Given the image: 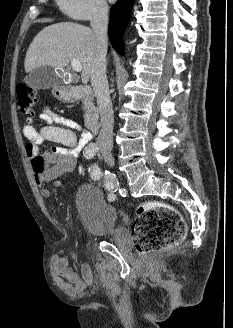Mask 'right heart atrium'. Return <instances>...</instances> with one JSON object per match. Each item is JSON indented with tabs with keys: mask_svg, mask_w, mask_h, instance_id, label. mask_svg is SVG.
Returning <instances> with one entry per match:
<instances>
[{
	"mask_svg": "<svg viewBox=\"0 0 233 328\" xmlns=\"http://www.w3.org/2000/svg\"><path fill=\"white\" fill-rule=\"evenodd\" d=\"M60 9L75 20L102 17L108 10L106 0H57Z\"/></svg>",
	"mask_w": 233,
	"mask_h": 328,
	"instance_id": "right-heart-atrium-1",
	"label": "right heart atrium"
}]
</instances>
